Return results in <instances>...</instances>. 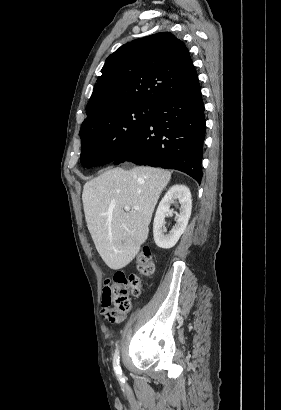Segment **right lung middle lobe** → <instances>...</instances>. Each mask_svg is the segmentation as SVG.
I'll return each mask as SVG.
<instances>
[{
    "mask_svg": "<svg viewBox=\"0 0 281 410\" xmlns=\"http://www.w3.org/2000/svg\"><path fill=\"white\" fill-rule=\"evenodd\" d=\"M152 113V106L130 105L107 110L82 123V165L91 168L114 161L143 131Z\"/></svg>",
    "mask_w": 281,
    "mask_h": 410,
    "instance_id": "obj_1",
    "label": "right lung middle lobe"
}]
</instances>
